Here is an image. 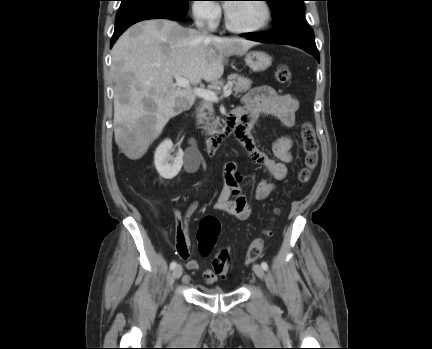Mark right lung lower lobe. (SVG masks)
Instances as JSON below:
<instances>
[{
  "instance_id": "98d812e1",
  "label": "right lung lower lobe",
  "mask_w": 432,
  "mask_h": 349,
  "mask_svg": "<svg viewBox=\"0 0 432 349\" xmlns=\"http://www.w3.org/2000/svg\"><path fill=\"white\" fill-rule=\"evenodd\" d=\"M177 18L180 17L174 13L159 8H139L127 13L120 14L118 15L115 22V30L111 39L110 47H112L116 40L119 38V36L134 23L148 19L175 20Z\"/></svg>"
}]
</instances>
